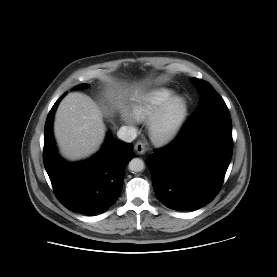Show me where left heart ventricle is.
Instances as JSON below:
<instances>
[{
    "label": "left heart ventricle",
    "instance_id": "obj_1",
    "mask_svg": "<svg viewBox=\"0 0 277 277\" xmlns=\"http://www.w3.org/2000/svg\"><path fill=\"white\" fill-rule=\"evenodd\" d=\"M179 113H180V105L176 104L169 110L168 114L166 115L162 123V128L164 129L169 128L175 122Z\"/></svg>",
    "mask_w": 277,
    "mask_h": 277
}]
</instances>
